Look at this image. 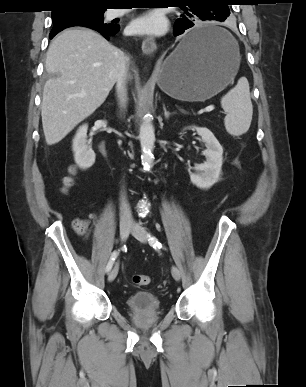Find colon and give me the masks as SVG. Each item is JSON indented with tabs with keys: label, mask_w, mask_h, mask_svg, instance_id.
I'll return each mask as SVG.
<instances>
[{
	"label": "colon",
	"mask_w": 306,
	"mask_h": 387,
	"mask_svg": "<svg viewBox=\"0 0 306 387\" xmlns=\"http://www.w3.org/2000/svg\"><path fill=\"white\" fill-rule=\"evenodd\" d=\"M75 168L69 169V174L63 179V189L67 191L74 184ZM74 230L78 234H83L87 229V223L83 219H76L73 224ZM132 281L137 286H146L150 283V277L144 274H135L132 277Z\"/></svg>",
	"instance_id": "1"
}]
</instances>
